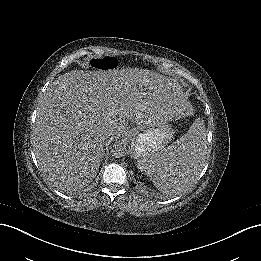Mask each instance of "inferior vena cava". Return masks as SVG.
<instances>
[{
	"label": "inferior vena cava",
	"mask_w": 261,
	"mask_h": 261,
	"mask_svg": "<svg viewBox=\"0 0 261 261\" xmlns=\"http://www.w3.org/2000/svg\"><path fill=\"white\" fill-rule=\"evenodd\" d=\"M114 134H117V132L116 133L110 132L108 136H111V135H114Z\"/></svg>",
	"instance_id": "inferior-vena-cava-1"
}]
</instances>
